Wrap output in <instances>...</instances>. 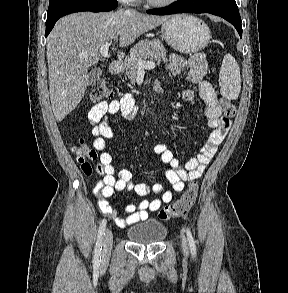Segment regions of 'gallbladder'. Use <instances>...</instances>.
Masks as SVG:
<instances>
[{"instance_id":"bac80fb5","label":"gallbladder","mask_w":288,"mask_h":293,"mask_svg":"<svg viewBox=\"0 0 288 293\" xmlns=\"http://www.w3.org/2000/svg\"><path fill=\"white\" fill-rule=\"evenodd\" d=\"M101 74H102V69L100 67H95L94 69H92L89 73L88 85L96 81L101 76Z\"/></svg>"}]
</instances>
